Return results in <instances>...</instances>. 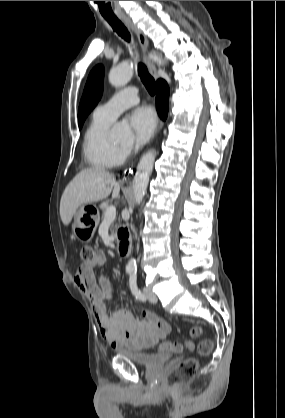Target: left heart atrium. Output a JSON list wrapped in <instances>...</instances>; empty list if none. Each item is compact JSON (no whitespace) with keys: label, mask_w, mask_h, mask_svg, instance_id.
I'll return each instance as SVG.
<instances>
[{"label":"left heart atrium","mask_w":285,"mask_h":418,"mask_svg":"<svg viewBox=\"0 0 285 418\" xmlns=\"http://www.w3.org/2000/svg\"><path fill=\"white\" fill-rule=\"evenodd\" d=\"M128 123L135 134L136 141L145 143L152 137L156 129L157 117L152 108L138 107L128 115Z\"/></svg>","instance_id":"1"}]
</instances>
